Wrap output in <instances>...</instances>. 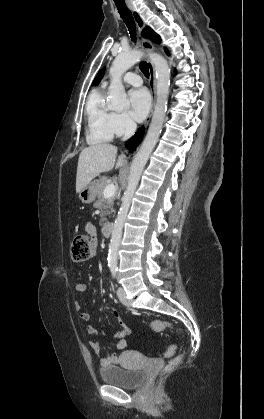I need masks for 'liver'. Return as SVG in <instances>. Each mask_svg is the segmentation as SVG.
<instances>
[{
    "instance_id": "obj_1",
    "label": "liver",
    "mask_w": 264,
    "mask_h": 419,
    "mask_svg": "<svg viewBox=\"0 0 264 419\" xmlns=\"http://www.w3.org/2000/svg\"><path fill=\"white\" fill-rule=\"evenodd\" d=\"M117 147L109 143L96 144L83 149L79 155L76 192L88 185L97 175L108 172L125 164V156L120 155L115 165Z\"/></svg>"
}]
</instances>
